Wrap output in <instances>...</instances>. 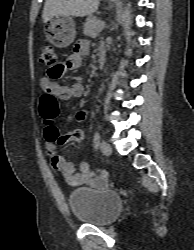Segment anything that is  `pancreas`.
<instances>
[{
	"label": "pancreas",
	"mask_w": 194,
	"mask_h": 250,
	"mask_svg": "<svg viewBox=\"0 0 194 250\" xmlns=\"http://www.w3.org/2000/svg\"><path fill=\"white\" fill-rule=\"evenodd\" d=\"M101 23L102 21L95 16L88 17L84 23L83 33L88 36H96L104 28Z\"/></svg>",
	"instance_id": "pancreas-1"
}]
</instances>
